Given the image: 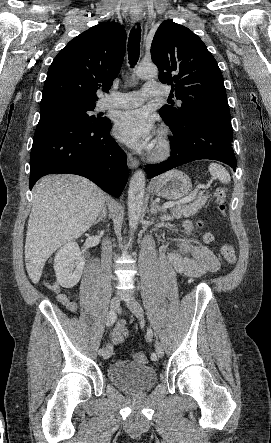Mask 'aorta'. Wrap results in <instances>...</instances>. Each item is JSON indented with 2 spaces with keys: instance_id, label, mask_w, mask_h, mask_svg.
Masks as SVG:
<instances>
[{
  "instance_id": "1",
  "label": "aorta",
  "mask_w": 271,
  "mask_h": 443,
  "mask_svg": "<svg viewBox=\"0 0 271 443\" xmlns=\"http://www.w3.org/2000/svg\"><path fill=\"white\" fill-rule=\"evenodd\" d=\"M137 78H156L158 68L155 64H140L135 72ZM145 194V174L138 170L133 174L128 190V218L130 225V235H133L137 223L141 218L143 200Z\"/></svg>"
}]
</instances>
